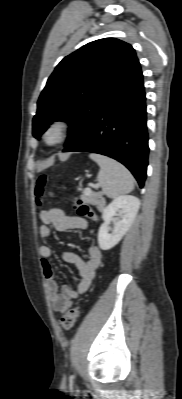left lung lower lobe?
<instances>
[{
  "mask_svg": "<svg viewBox=\"0 0 182 399\" xmlns=\"http://www.w3.org/2000/svg\"><path fill=\"white\" fill-rule=\"evenodd\" d=\"M146 97L140 71L95 115L87 129L63 152H93L124 164L142 188L148 165Z\"/></svg>",
  "mask_w": 182,
  "mask_h": 399,
  "instance_id": "0a47b994",
  "label": "left lung lower lobe"
}]
</instances>
